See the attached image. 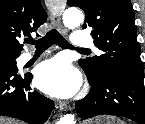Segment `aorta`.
<instances>
[{
	"instance_id": "aorta-1",
	"label": "aorta",
	"mask_w": 145,
	"mask_h": 124,
	"mask_svg": "<svg viewBox=\"0 0 145 124\" xmlns=\"http://www.w3.org/2000/svg\"><path fill=\"white\" fill-rule=\"evenodd\" d=\"M63 23L69 29L78 27L84 20L83 13L75 8L65 10L63 13ZM57 124H76L75 116L72 114L64 115Z\"/></svg>"
}]
</instances>
